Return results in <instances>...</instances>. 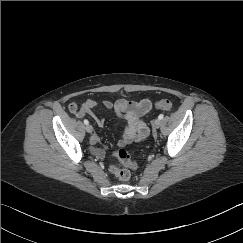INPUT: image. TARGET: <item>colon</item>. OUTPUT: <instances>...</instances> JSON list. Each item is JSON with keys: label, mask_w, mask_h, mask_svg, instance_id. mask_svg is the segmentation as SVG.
I'll return each instance as SVG.
<instances>
[{"label": "colon", "mask_w": 243, "mask_h": 243, "mask_svg": "<svg viewBox=\"0 0 243 243\" xmlns=\"http://www.w3.org/2000/svg\"><path fill=\"white\" fill-rule=\"evenodd\" d=\"M155 106L159 109L162 110H168L171 109L173 106V103L171 100L169 99H160L155 103ZM71 111H75L76 106L73 104L70 107ZM115 158L117 159V161L122 164L125 168H117L115 165H112V170L114 172V174L120 178L121 180L127 181L130 179V171L129 169H135L137 168V164L131 160L130 156L124 152V151H117L114 154Z\"/></svg>", "instance_id": "colon-1"}]
</instances>
